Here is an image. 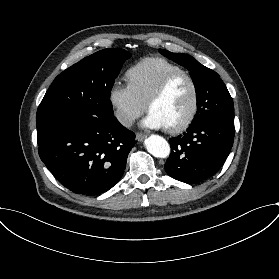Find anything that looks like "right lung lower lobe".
<instances>
[{
	"mask_svg": "<svg viewBox=\"0 0 279 279\" xmlns=\"http://www.w3.org/2000/svg\"><path fill=\"white\" fill-rule=\"evenodd\" d=\"M39 156L67 189L95 196L108 191L124 173L135 134L114 116H51L37 125Z\"/></svg>",
	"mask_w": 279,
	"mask_h": 279,
	"instance_id": "obj_1",
	"label": "right lung lower lobe"
}]
</instances>
